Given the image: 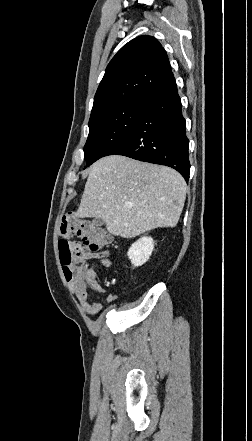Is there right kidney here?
<instances>
[{
	"label": "right kidney",
	"mask_w": 252,
	"mask_h": 441,
	"mask_svg": "<svg viewBox=\"0 0 252 441\" xmlns=\"http://www.w3.org/2000/svg\"><path fill=\"white\" fill-rule=\"evenodd\" d=\"M154 250V240L151 237H141L131 245L128 250V257L134 267L145 264Z\"/></svg>",
	"instance_id": "obj_1"
}]
</instances>
